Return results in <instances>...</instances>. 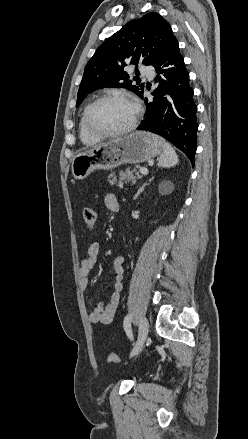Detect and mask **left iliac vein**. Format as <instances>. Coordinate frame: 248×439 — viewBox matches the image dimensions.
<instances>
[{"instance_id": "obj_1", "label": "left iliac vein", "mask_w": 248, "mask_h": 439, "mask_svg": "<svg viewBox=\"0 0 248 439\" xmlns=\"http://www.w3.org/2000/svg\"><path fill=\"white\" fill-rule=\"evenodd\" d=\"M148 329H149L148 320L145 317H142L140 320V325H139L138 339L136 341V344H135L133 350L131 351V354H130L131 357L138 354L139 351L141 350V348L146 340V337L148 334Z\"/></svg>"}]
</instances>
